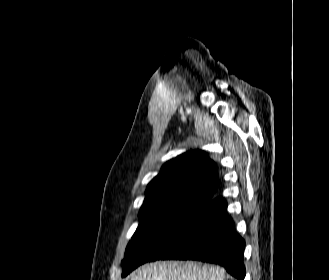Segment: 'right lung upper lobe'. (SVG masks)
<instances>
[{
  "instance_id": "1",
  "label": "right lung upper lobe",
  "mask_w": 329,
  "mask_h": 280,
  "mask_svg": "<svg viewBox=\"0 0 329 280\" xmlns=\"http://www.w3.org/2000/svg\"><path fill=\"white\" fill-rule=\"evenodd\" d=\"M215 164L202 150H190L166 162L149 183L140 213L158 201L186 197L209 201L217 190Z\"/></svg>"
}]
</instances>
